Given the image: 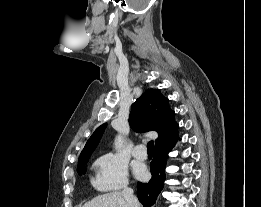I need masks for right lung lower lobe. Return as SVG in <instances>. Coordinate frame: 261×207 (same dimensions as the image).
Returning <instances> with one entry per match:
<instances>
[{"mask_svg":"<svg viewBox=\"0 0 261 207\" xmlns=\"http://www.w3.org/2000/svg\"><path fill=\"white\" fill-rule=\"evenodd\" d=\"M177 139L178 137L167 144L155 148L154 157L150 163L151 180L145 183H137V196L144 207H151L164 187L167 154L175 146Z\"/></svg>","mask_w":261,"mask_h":207,"instance_id":"1","label":"right lung lower lobe"}]
</instances>
